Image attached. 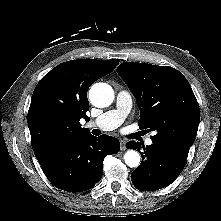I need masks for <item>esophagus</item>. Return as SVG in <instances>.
Listing matches in <instances>:
<instances>
[{
    "instance_id": "obj_1",
    "label": "esophagus",
    "mask_w": 221,
    "mask_h": 221,
    "mask_svg": "<svg viewBox=\"0 0 221 221\" xmlns=\"http://www.w3.org/2000/svg\"><path fill=\"white\" fill-rule=\"evenodd\" d=\"M120 149L124 151L126 149V142L124 140L120 141Z\"/></svg>"
}]
</instances>
